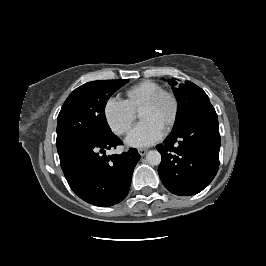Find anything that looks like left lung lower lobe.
I'll return each mask as SVG.
<instances>
[{
  "label": "left lung lower lobe",
  "instance_id": "left-lung-lower-lobe-1",
  "mask_svg": "<svg viewBox=\"0 0 266 266\" xmlns=\"http://www.w3.org/2000/svg\"><path fill=\"white\" fill-rule=\"evenodd\" d=\"M220 143L213 106L190 118L157 146L162 156L158 174L163 185L181 196L201 192L218 171Z\"/></svg>",
  "mask_w": 266,
  "mask_h": 266
}]
</instances>
